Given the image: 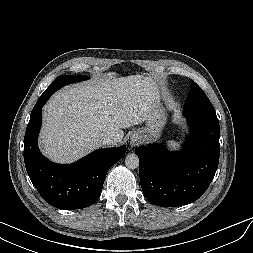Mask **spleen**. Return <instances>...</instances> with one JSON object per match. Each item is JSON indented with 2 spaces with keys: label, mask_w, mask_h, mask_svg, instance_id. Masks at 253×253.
<instances>
[{
  "label": "spleen",
  "mask_w": 253,
  "mask_h": 253,
  "mask_svg": "<svg viewBox=\"0 0 253 253\" xmlns=\"http://www.w3.org/2000/svg\"><path fill=\"white\" fill-rule=\"evenodd\" d=\"M166 145L170 148V150H177L179 148L180 143L168 141Z\"/></svg>",
  "instance_id": "spleen-1"
}]
</instances>
